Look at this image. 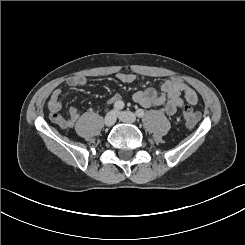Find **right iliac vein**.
<instances>
[{
	"label": "right iliac vein",
	"instance_id": "right-iliac-vein-1",
	"mask_svg": "<svg viewBox=\"0 0 245 245\" xmlns=\"http://www.w3.org/2000/svg\"><path fill=\"white\" fill-rule=\"evenodd\" d=\"M116 122V113L114 110L109 111L104 119V124L107 127H111L114 125V123Z\"/></svg>",
	"mask_w": 245,
	"mask_h": 245
}]
</instances>
